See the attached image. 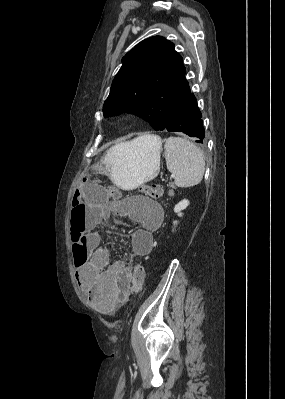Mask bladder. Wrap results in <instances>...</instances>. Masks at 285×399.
I'll return each mask as SVG.
<instances>
[{
	"label": "bladder",
	"instance_id": "31cf9c89",
	"mask_svg": "<svg viewBox=\"0 0 285 399\" xmlns=\"http://www.w3.org/2000/svg\"><path fill=\"white\" fill-rule=\"evenodd\" d=\"M132 199L141 201V202H143L144 204H146L148 206L155 205V203L152 200L148 199V198H143V197L135 198V197H133Z\"/></svg>",
	"mask_w": 285,
	"mask_h": 399
}]
</instances>
